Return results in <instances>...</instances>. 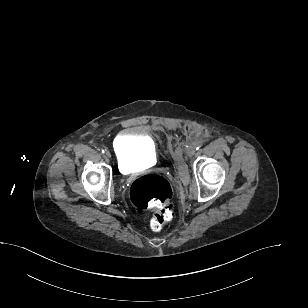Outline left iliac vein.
<instances>
[{"label":"left iliac vein","mask_w":308,"mask_h":308,"mask_svg":"<svg viewBox=\"0 0 308 308\" xmlns=\"http://www.w3.org/2000/svg\"><path fill=\"white\" fill-rule=\"evenodd\" d=\"M187 156L191 157L195 154V147L193 145H189L186 149Z\"/></svg>","instance_id":"obj_1"}]
</instances>
